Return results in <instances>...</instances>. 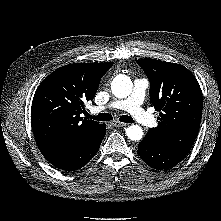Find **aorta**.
Segmentation results:
<instances>
[{"label":"aorta","mask_w":221,"mask_h":221,"mask_svg":"<svg viewBox=\"0 0 221 221\" xmlns=\"http://www.w3.org/2000/svg\"><path fill=\"white\" fill-rule=\"evenodd\" d=\"M132 81L126 75H118L111 84L112 93L117 98H126L132 92ZM126 135L130 140L139 141L143 137V130L138 125H131L126 129Z\"/></svg>","instance_id":"1"}]
</instances>
